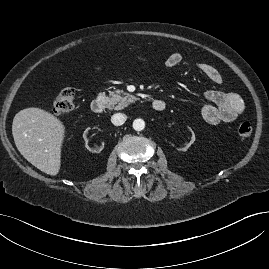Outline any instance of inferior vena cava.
Masks as SVG:
<instances>
[{
	"instance_id": "602c4592",
	"label": "inferior vena cava",
	"mask_w": 269,
	"mask_h": 269,
	"mask_svg": "<svg viewBox=\"0 0 269 269\" xmlns=\"http://www.w3.org/2000/svg\"><path fill=\"white\" fill-rule=\"evenodd\" d=\"M126 120H127V116L125 114H122V113H116L111 117V122L115 126L123 125Z\"/></svg>"
}]
</instances>
